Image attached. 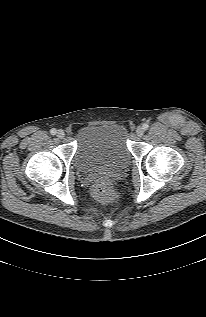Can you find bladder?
I'll return each mask as SVG.
<instances>
[{
    "label": "bladder",
    "instance_id": "obj_1",
    "mask_svg": "<svg viewBox=\"0 0 206 317\" xmlns=\"http://www.w3.org/2000/svg\"><path fill=\"white\" fill-rule=\"evenodd\" d=\"M128 132L119 124L86 125L76 136L75 167L82 174L116 171L127 166Z\"/></svg>",
    "mask_w": 206,
    "mask_h": 317
}]
</instances>
